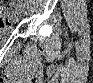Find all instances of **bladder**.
<instances>
[{
    "mask_svg": "<svg viewBox=\"0 0 93 83\" xmlns=\"http://www.w3.org/2000/svg\"><path fill=\"white\" fill-rule=\"evenodd\" d=\"M12 33V28L11 27H2L0 31L1 36H8Z\"/></svg>",
    "mask_w": 93,
    "mask_h": 83,
    "instance_id": "31cf9c89",
    "label": "bladder"
}]
</instances>
